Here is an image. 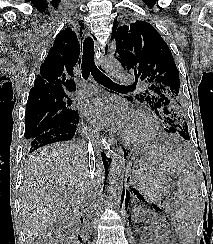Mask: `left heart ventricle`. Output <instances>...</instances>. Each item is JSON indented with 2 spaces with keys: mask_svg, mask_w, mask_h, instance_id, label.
Segmentation results:
<instances>
[{
  "mask_svg": "<svg viewBox=\"0 0 213 244\" xmlns=\"http://www.w3.org/2000/svg\"><path fill=\"white\" fill-rule=\"evenodd\" d=\"M146 130L147 125L143 120L139 118H133L125 132L131 136H140L145 133Z\"/></svg>",
  "mask_w": 213,
  "mask_h": 244,
  "instance_id": "obj_1",
  "label": "left heart ventricle"
}]
</instances>
